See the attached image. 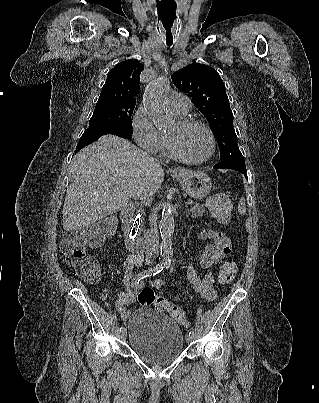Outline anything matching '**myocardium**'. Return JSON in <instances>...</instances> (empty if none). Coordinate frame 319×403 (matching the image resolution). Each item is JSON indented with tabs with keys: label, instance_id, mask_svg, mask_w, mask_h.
<instances>
[{
	"label": "myocardium",
	"instance_id": "f54148a6",
	"mask_svg": "<svg viewBox=\"0 0 319 403\" xmlns=\"http://www.w3.org/2000/svg\"><path fill=\"white\" fill-rule=\"evenodd\" d=\"M177 122L181 128L194 126V125L200 126L201 128H203L206 131V133L209 137V140H210V150H209V153L202 159H199V160L189 159L181 154V152L177 148L175 141L170 136L167 135V141H168L171 155L176 160H178L182 163H185V164L200 165V164L208 162L214 156L215 150H216V140H215V136H214V133L211 130V128L203 121L194 119V118L182 117V118H179Z\"/></svg>",
	"mask_w": 319,
	"mask_h": 403
}]
</instances>
